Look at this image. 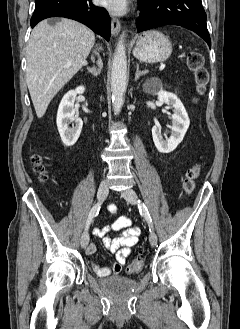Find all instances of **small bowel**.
I'll return each mask as SVG.
<instances>
[{
  "mask_svg": "<svg viewBox=\"0 0 240 329\" xmlns=\"http://www.w3.org/2000/svg\"><path fill=\"white\" fill-rule=\"evenodd\" d=\"M111 214L116 213L114 205L109 206ZM110 232H116L118 235L110 237ZM94 234L99 237L106 249L114 255V263L111 266H99L94 264L93 269L99 277H106L110 274H119L127 257L131 254L132 247L138 242L140 228L132 224V220L128 216H119L115 221L103 228L95 229ZM96 251L94 243L89 244L86 249L87 255H93Z\"/></svg>",
  "mask_w": 240,
  "mask_h": 329,
  "instance_id": "small-bowel-1",
  "label": "small bowel"
}]
</instances>
